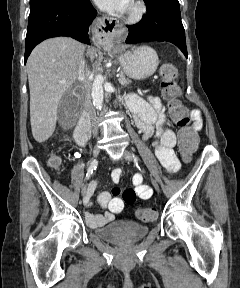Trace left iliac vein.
Returning <instances> with one entry per match:
<instances>
[{
    "instance_id": "1",
    "label": "left iliac vein",
    "mask_w": 240,
    "mask_h": 288,
    "mask_svg": "<svg viewBox=\"0 0 240 288\" xmlns=\"http://www.w3.org/2000/svg\"><path fill=\"white\" fill-rule=\"evenodd\" d=\"M122 156H123V158H124L125 160H128V161H132V160H133L132 154H131L129 151H127V150H125V151L123 152ZM152 184H153L154 188L156 189V191H157V192H160V188H159L156 180L153 179V178H152Z\"/></svg>"
}]
</instances>
